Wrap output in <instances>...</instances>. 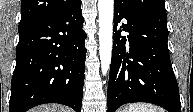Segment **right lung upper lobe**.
<instances>
[{
    "mask_svg": "<svg viewBox=\"0 0 193 112\" xmlns=\"http://www.w3.org/2000/svg\"><path fill=\"white\" fill-rule=\"evenodd\" d=\"M76 0H22L18 30L31 27L69 7Z\"/></svg>",
    "mask_w": 193,
    "mask_h": 112,
    "instance_id": "right-lung-upper-lobe-1",
    "label": "right lung upper lobe"
}]
</instances>
